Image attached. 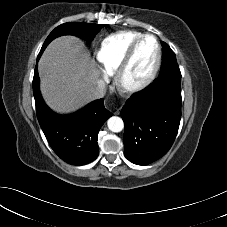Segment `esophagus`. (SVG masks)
<instances>
[{
	"instance_id": "34e87169",
	"label": "esophagus",
	"mask_w": 227,
	"mask_h": 227,
	"mask_svg": "<svg viewBox=\"0 0 227 227\" xmlns=\"http://www.w3.org/2000/svg\"><path fill=\"white\" fill-rule=\"evenodd\" d=\"M120 112H119V109H117L115 112H114V114L115 115H118Z\"/></svg>"
}]
</instances>
